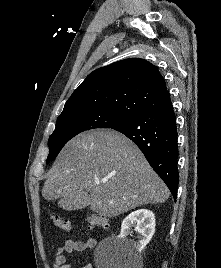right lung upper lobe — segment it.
Instances as JSON below:
<instances>
[{
    "mask_svg": "<svg viewBox=\"0 0 221 268\" xmlns=\"http://www.w3.org/2000/svg\"><path fill=\"white\" fill-rule=\"evenodd\" d=\"M171 104L158 69L146 60L130 58L90 73L62 113L106 109L131 120Z\"/></svg>",
    "mask_w": 221,
    "mask_h": 268,
    "instance_id": "cb5924a9",
    "label": "right lung upper lobe"
}]
</instances>
